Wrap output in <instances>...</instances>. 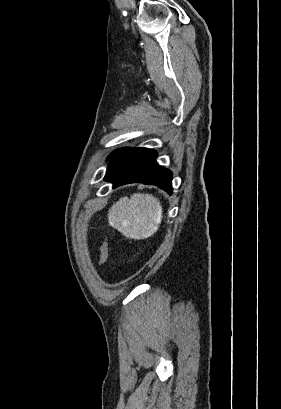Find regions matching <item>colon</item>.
Instances as JSON below:
<instances>
[{
  "label": "colon",
  "mask_w": 281,
  "mask_h": 409,
  "mask_svg": "<svg viewBox=\"0 0 281 409\" xmlns=\"http://www.w3.org/2000/svg\"><path fill=\"white\" fill-rule=\"evenodd\" d=\"M108 256V244L106 240H102L100 244V249H99V262L100 264H103Z\"/></svg>",
  "instance_id": "1"
}]
</instances>
